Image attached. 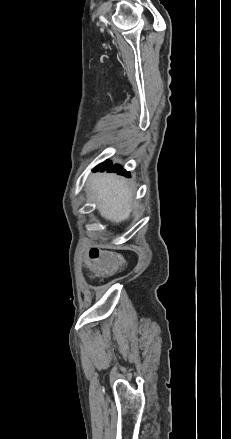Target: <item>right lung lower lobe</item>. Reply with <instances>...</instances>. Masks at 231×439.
Returning <instances> with one entry per match:
<instances>
[{"label": "right lung lower lobe", "mask_w": 231, "mask_h": 439, "mask_svg": "<svg viewBox=\"0 0 231 439\" xmlns=\"http://www.w3.org/2000/svg\"><path fill=\"white\" fill-rule=\"evenodd\" d=\"M95 170L100 169L101 171L107 170L108 172H117L118 174L121 175H125V176H130L129 172H126L125 170L123 171V167H121L120 165H114L112 166V162L111 161H105L101 164H99L98 166H96L94 168Z\"/></svg>", "instance_id": "98d812e1"}]
</instances>
